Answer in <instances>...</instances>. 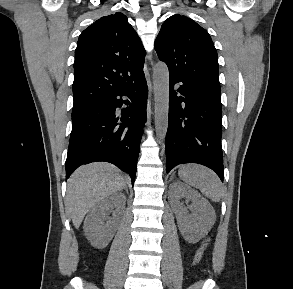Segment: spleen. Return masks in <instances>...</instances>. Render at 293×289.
Returning <instances> with one entry per match:
<instances>
[{
	"instance_id": "1",
	"label": "spleen",
	"mask_w": 293,
	"mask_h": 289,
	"mask_svg": "<svg viewBox=\"0 0 293 289\" xmlns=\"http://www.w3.org/2000/svg\"><path fill=\"white\" fill-rule=\"evenodd\" d=\"M178 174L184 182L199 189L210 200L220 201L222 184L212 170L198 164H187L180 167Z\"/></svg>"
}]
</instances>
